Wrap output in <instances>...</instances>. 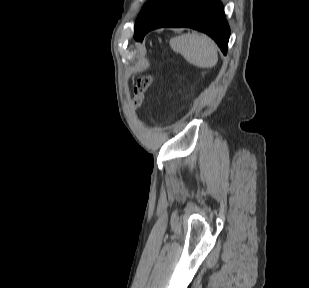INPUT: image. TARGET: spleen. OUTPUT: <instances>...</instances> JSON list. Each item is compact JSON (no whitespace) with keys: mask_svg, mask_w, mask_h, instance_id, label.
<instances>
[{"mask_svg":"<svg viewBox=\"0 0 309 288\" xmlns=\"http://www.w3.org/2000/svg\"><path fill=\"white\" fill-rule=\"evenodd\" d=\"M170 45L186 61L197 67L212 68L218 61L217 46L206 35L186 33L172 39Z\"/></svg>","mask_w":309,"mask_h":288,"instance_id":"3e777b00","label":"spleen"}]
</instances>
